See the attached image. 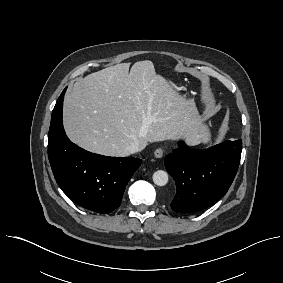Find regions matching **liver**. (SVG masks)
Wrapping results in <instances>:
<instances>
[{"label":"liver","mask_w":283,"mask_h":283,"mask_svg":"<svg viewBox=\"0 0 283 283\" xmlns=\"http://www.w3.org/2000/svg\"><path fill=\"white\" fill-rule=\"evenodd\" d=\"M121 63L87 75L65 95L63 123L68 137L97 154L126 157L139 141L184 139L200 143L201 119L191 99L180 95L151 61Z\"/></svg>","instance_id":"liver-1"}]
</instances>
